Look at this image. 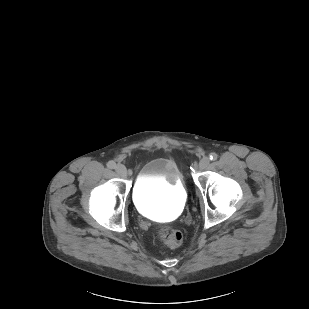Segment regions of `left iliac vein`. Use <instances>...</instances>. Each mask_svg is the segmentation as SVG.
I'll return each instance as SVG.
<instances>
[{"instance_id": "1", "label": "left iliac vein", "mask_w": 309, "mask_h": 309, "mask_svg": "<svg viewBox=\"0 0 309 309\" xmlns=\"http://www.w3.org/2000/svg\"><path fill=\"white\" fill-rule=\"evenodd\" d=\"M209 162H210L209 158L207 156H204L199 162V169L200 170L205 169L209 165Z\"/></svg>"}]
</instances>
